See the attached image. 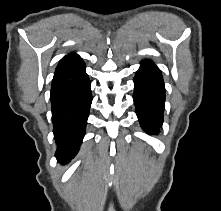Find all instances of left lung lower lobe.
<instances>
[{"label":"left lung lower lobe","instance_id":"obj_1","mask_svg":"<svg viewBox=\"0 0 221 211\" xmlns=\"http://www.w3.org/2000/svg\"><path fill=\"white\" fill-rule=\"evenodd\" d=\"M134 104L142 128L158 133L163 123L165 86L161 71L149 60L141 63L134 77Z\"/></svg>","mask_w":221,"mask_h":211}]
</instances>
